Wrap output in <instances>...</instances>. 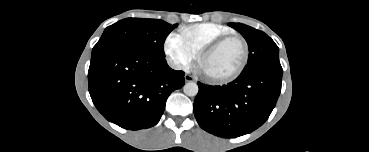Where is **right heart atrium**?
Masks as SVG:
<instances>
[{
	"label": "right heart atrium",
	"mask_w": 369,
	"mask_h": 152,
	"mask_svg": "<svg viewBox=\"0 0 369 152\" xmlns=\"http://www.w3.org/2000/svg\"><path fill=\"white\" fill-rule=\"evenodd\" d=\"M164 53L177 69L187 70L197 58V53L188 45L181 33L172 32L164 41Z\"/></svg>",
	"instance_id": "d8ad5b80"
}]
</instances>
